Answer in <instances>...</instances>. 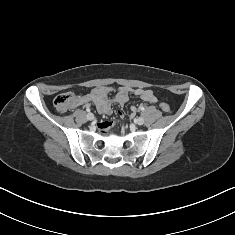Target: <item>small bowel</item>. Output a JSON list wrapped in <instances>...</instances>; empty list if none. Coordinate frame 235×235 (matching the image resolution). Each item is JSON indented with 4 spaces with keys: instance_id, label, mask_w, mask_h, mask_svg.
I'll return each mask as SVG.
<instances>
[{
    "instance_id": "obj_1",
    "label": "small bowel",
    "mask_w": 235,
    "mask_h": 235,
    "mask_svg": "<svg viewBox=\"0 0 235 235\" xmlns=\"http://www.w3.org/2000/svg\"><path fill=\"white\" fill-rule=\"evenodd\" d=\"M113 92L112 89L106 88V87H98L93 89L90 93L85 94L79 98L80 103H88L92 102L97 110L105 115H110L112 113V104L116 103L121 106L125 105L129 99V94L133 93L134 95L140 97L142 100L148 103H155L157 101L156 96L151 90L148 89H131L128 87H122L120 88L114 96H111V93ZM136 112V108H131V114L134 115ZM118 116L122 117L123 113L121 111H118ZM108 123L107 122H101L99 124V128L104 130L107 128Z\"/></svg>"
}]
</instances>
